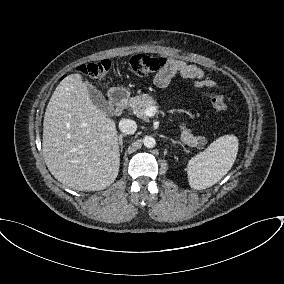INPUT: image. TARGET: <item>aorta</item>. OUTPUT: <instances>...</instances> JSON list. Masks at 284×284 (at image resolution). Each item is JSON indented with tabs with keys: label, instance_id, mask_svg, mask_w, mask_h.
<instances>
[{
	"label": "aorta",
	"instance_id": "obj_1",
	"mask_svg": "<svg viewBox=\"0 0 284 284\" xmlns=\"http://www.w3.org/2000/svg\"><path fill=\"white\" fill-rule=\"evenodd\" d=\"M143 143L146 148H153L156 145V140L152 136H146L143 139Z\"/></svg>",
	"mask_w": 284,
	"mask_h": 284
}]
</instances>
